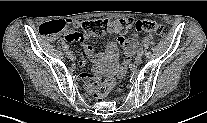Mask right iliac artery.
<instances>
[{
  "label": "right iliac artery",
  "instance_id": "obj_1",
  "mask_svg": "<svg viewBox=\"0 0 207 123\" xmlns=\"http://www.w3.org/2000/svg\"><path fill=\"white\" fill-rule=\"evenodd\" d=\"M70 53H71V51L69 50V51H67V56H69L70 55Z\"/></svg>",
  "mask_w": 207,
  "mask_h": 123
}]
</instances>
